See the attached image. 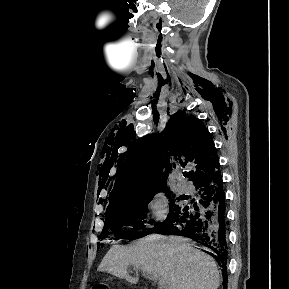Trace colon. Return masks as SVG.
Wrapping results in <instances>:
<instances>
[{
	"mask_svg": "<svg viewBox=\"0 0 289 289\" xmlns=\"http://www.w3.org/2000/svg\"><path fill=\"white\" fill-rule=\"evenodd\" d=\"M92 289H107L103 284H95Z\"/></svg>",
	"mask_w": 289,
	"mask_h": 289,
	"instance_id": "colon-1",
	"label": "colon"
}]
</instances>
